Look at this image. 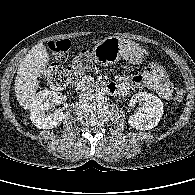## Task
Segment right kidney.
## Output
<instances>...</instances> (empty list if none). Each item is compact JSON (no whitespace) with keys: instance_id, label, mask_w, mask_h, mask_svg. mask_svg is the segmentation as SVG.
Masks as SVG:
<instances>
[{"instance_id":"right-kidney-1","label":"right kidney","mask_w":195,"mask_h":195,"mask_svg":"<svg viewBox=\"0 0 195 195\" xmlns=\"http://www.w3.org/2000/svg\"><path fill=\"white\" fill-rule=\"evenodd\" d=\"M61 97L54 91L43 90L36 94L30 109V119L38 129H53L64 119V113L61 110H55L50 115L46 112L51 105L59 104Z\"/></svg>"}]
</instances>
